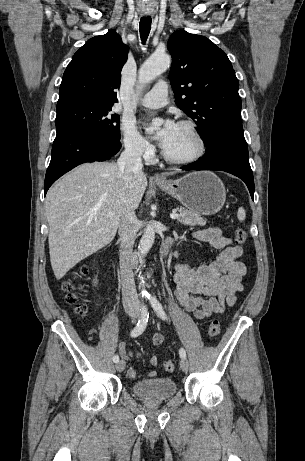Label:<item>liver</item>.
<instances>
[{
  "label": "liver",
  "mask_w": 305,
  "mask_h": 461,
  "mask_svg": "<svg viewBox=\"0 0 305 461\" xmlns=\"http://www.w3.org/2000/svg\"><path fill=\"white\" fill-rule=\"evenodd\" d=\"M147 184L144 173L127 183L117 164L93 162L78 166L48 191L45 211L56 279L113 240L121 214L138 208Z\"/></svg>",
  "instance_id": "obj_1"
}]
</instances>
